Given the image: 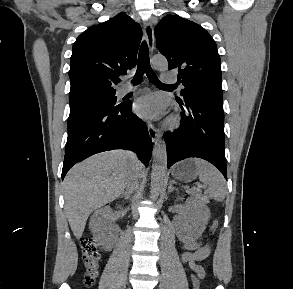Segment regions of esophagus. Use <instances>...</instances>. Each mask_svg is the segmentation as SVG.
Listing matches in <instances>:
<instances>
[{"mask_svg": "<svg viewBox=\"0 0 293 289\" xmlns=\"http://www.w3.org/2000/svg\"><path fill=\"white\" fill-rule=\"evenodd\" d=\"M144 34L146 37L148 47H149L150 51L153 52V50H154V31H153V26L150 22H147V21L144 22ZM148 132H149V136H150L152 142L156 143L160 139V135H159L157 129L155 128V126L151 122L148 123Z\"/></svg>", "mask_w": 293, "mask_h": 289, "instance_id": "obj_1", "label": "esophagus"}]
</instances>
